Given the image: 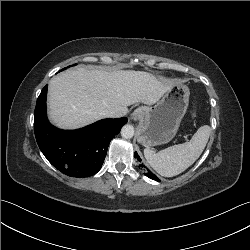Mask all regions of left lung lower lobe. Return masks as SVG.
Here are the masks:
<instances>
[{
	"label": "left lung lower lobe",
	"mask_w": 250,
	"mask_h": 250,
	"mask_svg": "<svg viewBox=\"0 0 250 250\" xmlns=\"http://www.w3.org/2000/svg\"><path fill=\"white\" fill-rule=\"evenodd\" d=\"M135 158H137L139 161H141L140 157L137 155V152H135ZM140 167L143 168L144 165L141 164V165L139 166V168H140ZM145 175H147L150 179L159 181V179L157 178V176L154 175L150 170H148V171L145 173Z\"/></svg>",
	"instance_id": "0a47b994"
}]
</instances>
